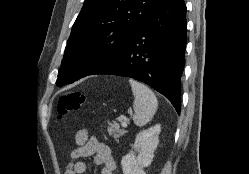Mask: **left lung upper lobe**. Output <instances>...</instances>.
<instances>
[{"mask_svg": "<svg viewBox=\"0 0 249 174\" xmlns=\"http://www.w3.org/2000/svg\"><path fill=\"white\" fill-rule=\"evenodd\" d=\"M161 0H85L67 41L57 86L107 68Z\"/></svg>", "mask_w": 249, "mask_h": 174, "instance_id": "1", "label": "left lung upper lobe"}]
</instances>
